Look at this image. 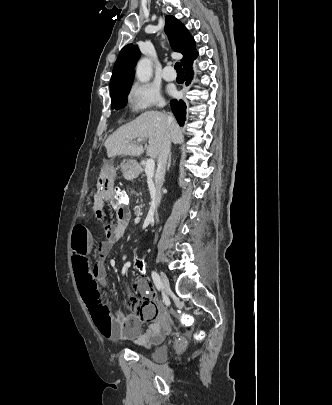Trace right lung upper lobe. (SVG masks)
Listing matches in <instances>:
<instances>
[{
	"label": "right lung upper lobe",
	"mask_w": 332,
	"mask_h": 405,
	"mask_svg": "<svg viewBox=\"0 0 332 405\" xmlns=\"http://www.w3.org/2000/svg\"><path fill=\"white\" fill-rule=\"evenodd\" d=\"M165 32L173 51L183 54L181 60L183 66L196 59L198 52L193 37L184 25L172 15L165 18ZM139 57L140 51L136 45L128 44L121 50L114 64L110 89L122 82L133 80V68Z\"/></svg>",
	"instance_id": "cb5924a9"
}]
</instances>
